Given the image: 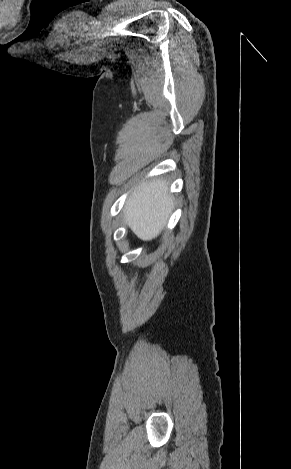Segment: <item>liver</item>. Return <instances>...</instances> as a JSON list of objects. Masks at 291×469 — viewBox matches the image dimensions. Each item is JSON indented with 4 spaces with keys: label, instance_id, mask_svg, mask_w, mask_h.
Returning a JSON list of instances; mask_svg holds the SVG:
<instances>
[{
    "label": "liver",
    "instance_id": "liver-1",
    "mask_svg": "<svg viewBox=\"0 0 291 469\" xmlns=\"http://www.w3.org/2000/svg\"><path fill=\"white\" fill-rule=\"evenodd\" d=\"M173 207L168 184L155 179L142 184L131 194L123 209L124 221L138 238L149 241L162 232Z\"/></svg>",
    "mask_w": 291,
    "mask_h": 469
}]
</instances>
